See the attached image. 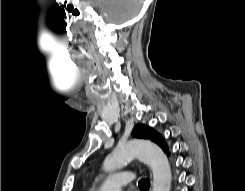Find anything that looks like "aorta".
<instances>
[{"instance_id":"762f6f07","label":"aorta","mask_w":245,"mask_h":191,"mask_svg":"<svg viewBox=\"0 0 245 191\" xmlns=\"http://www.w3.org/2000/svg\"><path fill=\"white\" fill-rule=\"evenodd\" d=\"M135 157H138L153 173L152 191H170L171 169L164 152L156 144L146 140H132L118 146L106 157L103 169L110 172L123 167Z\"/></svg>"}]
</instances>
